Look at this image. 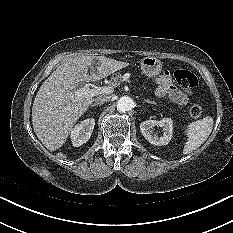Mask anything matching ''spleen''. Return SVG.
<instances>
[{
    "mask_svg": "<svg viewBox=\"0 0 233 233\" xmlns=\"http://www.w3.org/2000/svg\"><path fill=\"white\" fill-rule=\"evenodd\" d=\"M213 123V118L206 116L187 125L185 129L187 141L183 148L184 155L190 154L207 140L212 132Z\"/></svg>",
    "mask_w": 233,
    "mask_h": 233,
    "instance_id": "obj_1",
    "label": "spleen"
}]
</instances>
